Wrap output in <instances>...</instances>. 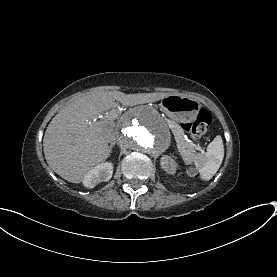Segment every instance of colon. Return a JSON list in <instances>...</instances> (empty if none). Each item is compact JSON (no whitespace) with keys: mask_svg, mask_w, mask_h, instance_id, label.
Here are the masks:
<instances>
[{"mask_svg":"<svg viewBox=\"0 0 277 277\" xmlns=\"http://www.w3.org/2000/svg\"><path fill=\"white\" fill-rule=\"evenodd\" d=\"M210 123H211V115H210L209 111L206 109H200L197 114V121L182 122V127L184 130L190 132L194 138H198L206 132ZM182 151L187 153L188 146H183ZM188 173L193 176L196 174V170L194 168L190 167L188 169Z\"/></svg>","mask_w":277,"mask_h":277,"instance_id":"5ec220e1","label":"colon"}]
</instances>
